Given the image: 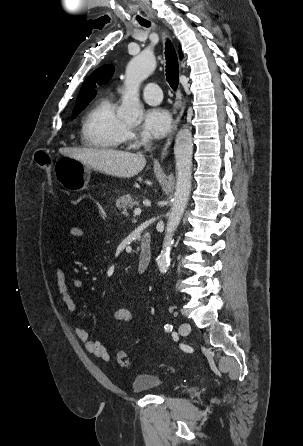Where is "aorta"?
<instances>
[{
	"instance_id": "762f6f07",
	"label": "aorta",
	"mask_w": 303,
	"mask_h": 446,
	"mask_svg": "<svg viewBox=\"0 0 303 446\" xmlns=\"http://www.w3.org/2000/svg\"><path fill=\"white\" fill-rule=\"evenodd\" d=\"M156 68V61L150 51H143L127 65L125 72V94L118 115L127 121H136L142 112L139 101V87ZM192 133L189 127H182L175 139L174 155L176 161V189L168 214L163 249L157 257L161 273H166L170 265V252L174 243L173 235L187 206L192 178Z\"/></svg>"
}]
</instances>
